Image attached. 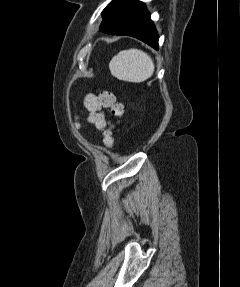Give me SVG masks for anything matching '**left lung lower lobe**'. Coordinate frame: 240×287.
<instances>
[{
  "mask_svg": "<svg viewBox=\"0 0 240 287\" xmlns=\"http://www.w3.org/2000/svg\"><path fill=\"white\" fill-rule=\"evenodd\" d=\"M100 31L135 37L158 49V35L145 5L138 0H112L102 12Z\"/></svg>",
  "mask_w": 240,
  "mask_h": 287,
  "instance_id": "left-lung-lower-lobe-1",
  "label": "left lung lower lobe"
}]
</instances>
